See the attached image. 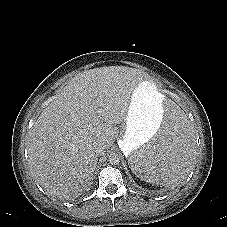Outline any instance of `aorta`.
Returning <instances> with one entry per match:
<instances>
[{"instance_id":"obj_1","label":"aorta","mask_w":227,"mask_h":227,"mask_svg":"<svg viewBox=\"0 0 227 227\" xmlns=\"http://www.w3.org/2000/svg\"><path fill=\"white\" fill-rule=\"evenodd\" d=\"M108 161L111 165H117L120 163V156L117 153H111L109 155Z\"/></svg>"}]
</instances>
